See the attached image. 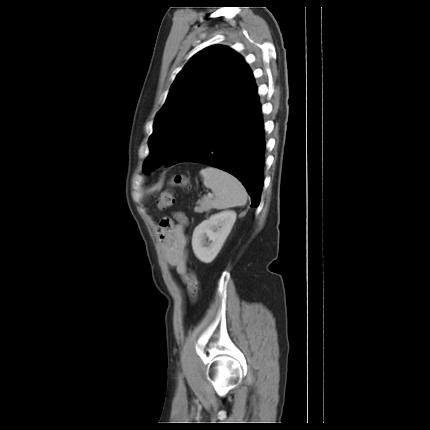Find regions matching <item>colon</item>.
<instances>
[{"mask_svg":"<svg viewBox=\"0 0 430 430\" xmlns=\"http://www.w3.org/2000/svg\"><path fill=\"white\" fill-rule=\"evenodd\" d=\"M172 186L188 187V180L183 175H176L171 180ZM175 202L174 194L171 190L164 191L160 194L157 205L160 210L170 208ZM188 293L192 302H195L198 294V278L192 270L187 272Z\"/></svg>","mask_w":430,"mask_h":430,"instance_id":"obj_1","label":"colon"}]
</instances>
